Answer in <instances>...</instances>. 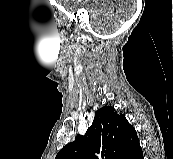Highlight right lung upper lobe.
<instances>
[{"mask_svg":"<svg viewBox=\"0 0 173 159\" xmlns=\"http://www.w3.org/2000/svg\"><path fill=\"white\" fill-rule=\"evenodd\" d=\"M140 149L137 133L125 115L106 106L95 112L85 135L76 136L55 159H128Z\"/></svg>","mask_w":173,"mask_h":159,"instance_id":"right-lung-upper-lobe-1","label":"right lung upper lobe"}]
</instances>
